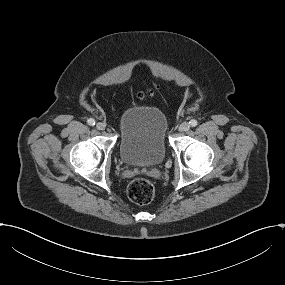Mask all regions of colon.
I'll list each match as a JSON object with an SVG mask.
<instances>
[{
    "mask_svg": "<svg viewBox=\"0 0 285 285\" xmlns=\"http://www.w3.org/2000/svg\"><path fill=\"white\" fill-rule=\"evenodd\" d=\"M152 93L151 88H145L137 93V97L144 98ZM128 197L131 201L139 205L150 203L155 195L154 185L146 179H136L130 182L127 189Z\"/></svg>",
    "mask_w": 285,
    "mask_h": 285,
    "instance_id": "1",
    "label": "colon"
}]
</instances>
